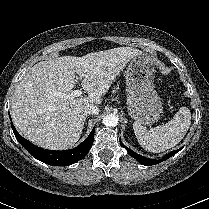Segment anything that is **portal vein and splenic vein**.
Returning <instances> with one entry per match:
<instances>
[{
	"instance_id": "portal-vein-and-splenic-vein-1",
	"label": "portal vein and splenic vein",
	"mask_w": 209,
	"mask_h": 209,
	"mask_svg": "<svg viewBox=\"0 0 209 209\" xmlns=\"http://www.w3.org/2000/svg\"><path fill=\"white\" fill-rule=\"evenodd\" d=\"M80 79H82V76L79 77ZM82 95V91L80 90H74L72 91L69 95H67V97H79Z\"/></svg>"
}]
</instances>
